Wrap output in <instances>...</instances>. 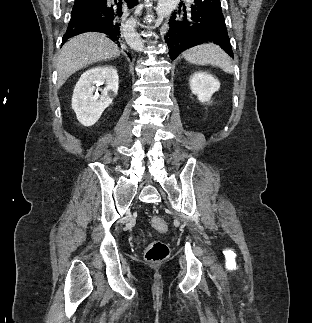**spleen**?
<instances>
[{
    "label": "spleen",
    "mask_w": 312,
    "mask_h": 323,
    "mask_svg": "<svg viewBox=\"0 0 312 323\" xmlns=\"http://www.w3.org/2000/svg\"><path fill=\"white\" fill-rule=\"evenodd\" d=\"M183 56L190 64H199V66L211 64V66H219L227 74H233L231 58L219 46H215V44L195 46V48L184 52Z\"/></svg>",
    "instance_id": "obj_1"
}]
</instances>
